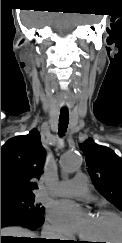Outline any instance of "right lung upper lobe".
<instances>
[{
    "label": "right lung upper lobe",
    "instance_id": "cb5924a9",
    "mask_svg": "<svg viewBox=\"0 0 122 243\" xmlns=\"http://www.w3.org/2000/svg\"><path fill=\"white\" fill-rule=\"evenodd\" d=\"M45 151L40 134L33 129L28 135L16 136L1 147V198L34 195V179L43 172Z\"/></svg>",
    "mask_w": 122,
    "mask_h": 243
}]
</instances>
